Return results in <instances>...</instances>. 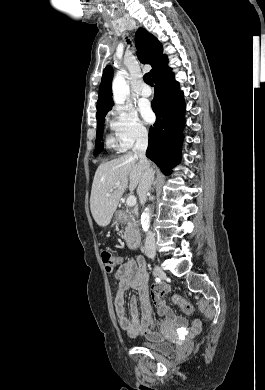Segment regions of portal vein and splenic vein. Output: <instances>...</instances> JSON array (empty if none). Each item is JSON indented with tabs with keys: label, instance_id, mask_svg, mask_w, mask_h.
<instances>
[{
	"label": "portal vein and splenic vein",
	"instance_id": "obj_1",
	"mask_svg": "<svg viewBox=\"0 0 265 390\" xmlns=\"http://www.w3.org/2000/svg\"><path fill=\"white\" fill-rule=\"evenodd\" d=\"M116 185H119V183H117ZM107 195H109V194H107ZM136 201H137L136 197L131 195L127 198L126 204H127V206L132 207V206L136 205Z\"/></svg>",
	"mask_w": 265,
	"mask_h": 390
}]
</instances>
